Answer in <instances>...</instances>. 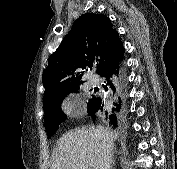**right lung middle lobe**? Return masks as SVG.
<instances>
[{"mask_svg":"<svg viewBox=\"0 0 177 169\" xmlns=\"http://www.w3.org/2000/svg\"><path fill=\"white\" fill-rule=\"evenodd\" d=\"M79 90V86H76L67 92L63 93L58 99L44 104V112H45V128L47 131L48 137H51L53 133L58 129L59 124L64 121L65 115L61 110L62 100L65 98L67 94L70 92H77ZM94 97V96H93ZM93 97L88 101V108L91 106ZM122 123V120L119 122V125Z\"/></svg>","mask_w":177,"mask_h":169,"instance_id":"1","label":"right lung middle lobe"}]
</instances>
